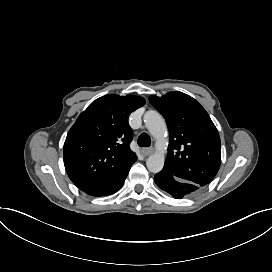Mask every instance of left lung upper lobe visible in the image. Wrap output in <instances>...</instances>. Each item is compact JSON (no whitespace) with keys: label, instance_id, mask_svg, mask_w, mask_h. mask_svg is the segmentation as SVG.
<instances>
[{"label":"left lung upper lobe","instance_id":"obj_1","mask_svg":"<svg viewBox=\"0 0 272 272\" xmlns=\"http://www.w3.org/2000/svg\"><path fill=\"white\" fill-rule=\"evenodd\" d=\"M149 100L166 119L170 132L162 170L201 187L210 183L220 167L221 143L208 113L182 92L152 95Z\"/></svg>","mask_w":272,"mask_h":272}]
</instances>
